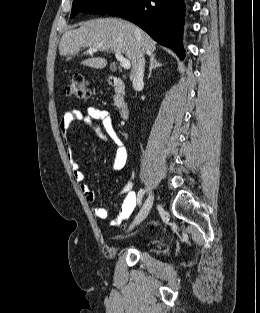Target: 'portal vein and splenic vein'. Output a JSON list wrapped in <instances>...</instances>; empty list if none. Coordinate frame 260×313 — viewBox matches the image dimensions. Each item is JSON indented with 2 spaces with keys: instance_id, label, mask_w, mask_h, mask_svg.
Returning <instances> with one entry per match:
<instances>
[{
  "instance_id": "obj_1",
  "label": "portal vein and splenic vein",
  "mask_w": 260,
  "mask_h": 313,
  "mask_svg": "<svg viewBox=\"0 0 260 313\" xmlns=\"http://www.w3.org/2000/svg\"><path fill=\"white\" fill-rule=\"evenodd\" d=\"M98 51V48L97 47H91L89 48V53L92 54L94 52H97ZM115 57L116 59L120 62L121 66L128 70L130 69L131 67V63L128 59H126L125 57H123V55L121 53H115Z\"/></svg>"
}]
</instances>
